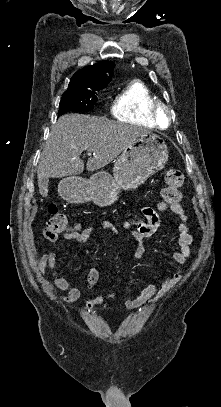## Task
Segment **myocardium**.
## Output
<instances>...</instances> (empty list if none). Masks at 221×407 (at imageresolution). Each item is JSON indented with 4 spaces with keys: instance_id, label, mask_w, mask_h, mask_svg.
<instances>
[{
    "instance_id": "f54148a6",
    "label": "myocardium",
    "mask_w": 221,
    "mask_h": 407,
    "mask_svg": "<svg viewBox=\"0 0 221 407\" xmlns=\"http://www.w3.org/2000/svg\"><path fill=\"white\" fill-rule=\"evenodd\" d=\"M166 116V124H161V115ZM152 117L154 123L161 129H167L172 123V112L168 105L157 101L152 107Z\"/></svg>"
}]
</instances>
